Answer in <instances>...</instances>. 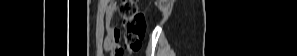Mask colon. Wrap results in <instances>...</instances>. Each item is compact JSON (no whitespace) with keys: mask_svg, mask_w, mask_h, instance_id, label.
Wrapping results in <instances>:
<instances>
[{"mask_svg":"<svg viewBox=\"0 0 297 56\" xmlns=\"http://www.w3.org/2000/svg\"><path fill=\"white\" fill-rule=\"evenodd\" d=\"M118 11L125 30V49L129 52H137L142 46L146 32L145 15L139 9L136 0H122L118 5ZM114 56H123V49L116 51Z\"/></svg>","mask_w":297,"mask_h":56,"instance_id":"5ec220e1","label":"colon"}]
</instances>
